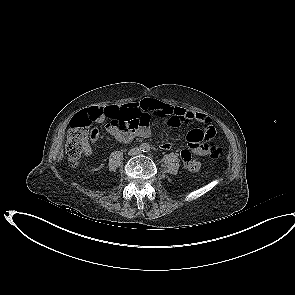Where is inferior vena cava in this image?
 Returning <instances> with one entry per match:
<instances>
[{"label":"inferior vena cava","instance_id":"1","mask_svg":"<svg viewBox=\"0 0 295 295\" xmlns=\"http://www.w3.org/2000/svg\"><path fill=\"white\" fill-rule=\"evenodd\" d=\"M137 148H134V149H131V151H130V153H132V154H137V150H136Z\"/></svg>","mask_w":295,"mask_h":295}]
</instances>
